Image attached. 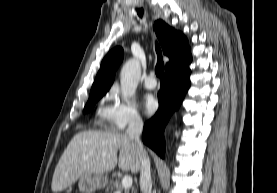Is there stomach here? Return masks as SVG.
I'll use <instances>...</instances> for the list:
<instances>
[{
	"label": "stomach",
	"mask_w": 277,
	"mask_h": 193,
	"mask_svg": "<svg viewBox=\"0 0 277 193\" xmlns=\"http://www.w3.org/2000/svg\"><path fill=\"white\" fill-rule=\"evenodd\" d=\"M108 185L106 175H90L79 179V190L81 193H94L98 189L105 188Z\"/></svg>",
	"instance_id": "stomach-1"
}]
</instances>
